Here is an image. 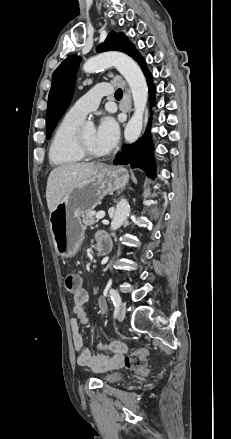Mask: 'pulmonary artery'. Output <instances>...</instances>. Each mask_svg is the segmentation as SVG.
I'll list each match as a JSON object with an SVG mask.
<instances>
[{
	"mask_svg": "<svg viewBox=\"0 0 231 439\" xmlns=\"http://www.w3.org/2000/svg\"><path fill=\"white\" fill-rule=\"evenodd\" d=\"M111 92L112 86L110 84H97L75 102V104L67 111L66 116L75 120L83 121L88 113L98 108L101 98L111 94Z\"/></svg>",
	"mask_w": 231,
	"mask_h": 439,
	"instance_id": "e3ab8cb5",
	"label": "pulmonary artery"
}]
</instances>
